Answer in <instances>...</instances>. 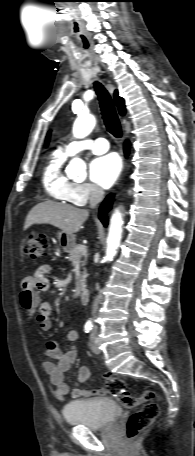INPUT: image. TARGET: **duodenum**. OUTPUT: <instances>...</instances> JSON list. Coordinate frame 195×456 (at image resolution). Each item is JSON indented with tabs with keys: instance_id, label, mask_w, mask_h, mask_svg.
<instances>
[{
	"instance_id": "410a0bca",
	"label": "duodenum",
	"mask_w": 195,
	"mask_h": 456,
	"mask_svg": "<svg viewBox=\"0 0 195 456\" xmlns=\"http://www.w3.org/2000/svg\"><path fill=\"white\" fill-rule=\"evenodd\" d=\"M79 298L82 303H88L89 301V291L87 289H82L79 294Z\"/></svg>"
}]
</instances>
